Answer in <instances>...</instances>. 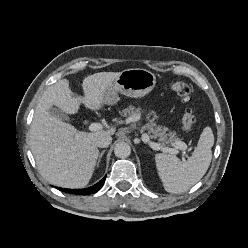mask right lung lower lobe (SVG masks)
Masks as SVG:
<instances>
[{"mask_svg": "<svg viewBox=\"0 0 248 248\" xmlns=\"http://www.w3.org/2000/svg\"><path fill=\"white\" fill-rule=\"evenodd\" d=\"M105 182V177L101 179L97 184H95L92 187L85 188V189H64V188H58L61 191L71 193V194H79V195H87V194H92L100 190V188L103 186Z\"/></svg>", "mask_w": 248, "mask_h": 248, "instance_id": "obj_1", "label": "right lung lower lobe"}]
</instances>
